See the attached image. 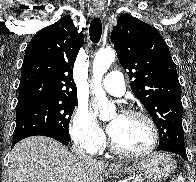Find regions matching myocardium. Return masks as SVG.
Wrapping results in <instances>:
<instances>
[{"instance_id": "f54148a6", "label": "myocardium", "mask_w": 196, "mask_h": 182, "mask_svg": "<svg viewBox=\"0 0 196 182\" xmlns=\"http://www.w3.org/2000/svg\"><path fill=\"white\" fill-rule=\"evenodd\" d=\"M124 114L127 116L140 118L147 123L151 131V143L145 150L139 151V152H133V151L126 150L122 148L121 146H119L116 143V141L113 139V137H111L110 144H111L112 149L116 153L126 156V157H130V158H142V157L149 155L150 153L154 151V149L156 148L158 144V140H159V132H158V128L155 122L149 115L141 111L127 110V111H124Z\"/></svg>"}]
</instances>
